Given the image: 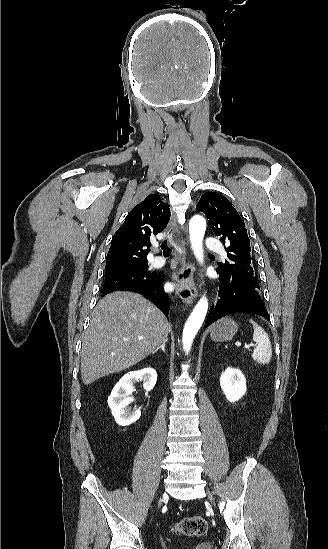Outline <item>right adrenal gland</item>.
Listing matches in <instances>:
<instances>
[{
    "label": "right adrenal gland",
    "instance_id": "1",
    "mask_svg": "<svg viewBox=\"0 0 328 549\" xmlns=\"http://www.w3.org/2000/svg\"><path fill=\"white\" fill-rule=\"evenodd\" d=\"M165 343H166V341H164L163 345H160V347H158V349H156V351H159V349H162V351H164V353H165ZM156 351H154V353H156Z\"/></svg>",
    "mask_w": 328,
    "mask_h": 549
}]
</instances>
